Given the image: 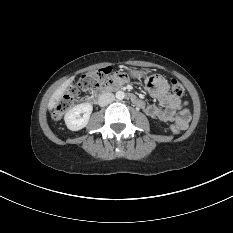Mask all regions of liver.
Wrapping results in <instances>:
<instances>
[{
  "label": "liver",
  "mask_w": 233,
  "mask_h": 233,
  "mask_svg": "<svg viewBox=\"0 0 233 233\" xmlns=\"http://www.w3.org/2000/svg\"><path fill=\"white\" fill-rule=\"evenodd\" d=\"M75 77L72 76L68 80H66L64 83H62L56 91L52 94L51 98L48 102V109L51 111L55 106L59 103L61 100L63 94L66 92L67 88L71 85V83L74 81Z\"/></svg>",
  "instance_id": "6515ba94"
}]
</instances>
